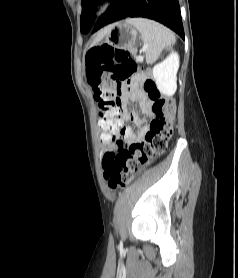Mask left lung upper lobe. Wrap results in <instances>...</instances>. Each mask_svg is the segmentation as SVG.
Masks as SVG:
<instances>
[{
  "label": "left lung upper lobe",
  "instance_id": "obj_1",
  "mask_svg": "<svg viewBox=\"0 0 238 278\" xmlns=\"http://www.w3.org/2000/svg\"><path fill=\"white\" fill-rule=\"evenodd\" d=\"M98 0H83L82 1V14L80 17L81 32L87 33L90 31L95 15L93 13L94 6Z\"/></svg>",
  "mask_w": 238,
  "mask_h": 278
}]
</instances>
